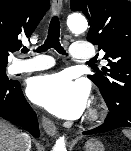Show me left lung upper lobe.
<instances>
[{
    "label": "left lung upper lobe",
    "instance_id": "obj_1",
    "mask_svg": "<svg viewBox=\"0 0 131 151\" xmlns=\"http://www.w3.org/2000/svg\"><path fill=\"white\" fill-rule=\"evenodd\" d=\"M90 22L87 40L105 52L108 60L99 74L88 75L106 102H131V2L127 0H71ZM111 109H114L112 107Z\"/></svg>",
    "mask_w": 131,
    "mask_h": 151
}]
</instances>
